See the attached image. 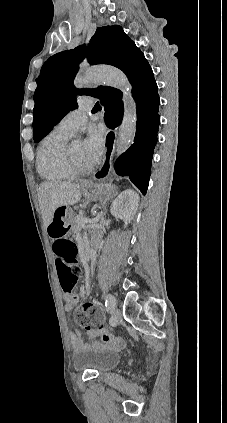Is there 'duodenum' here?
<instances>
[{"instance_id":"obj_1","label":"duodenum","mask_w":227,"mask_h":423,"mask_svg":"<svg viewBox=\"0 0 227 423\" xmlns=\"http://www.w3.org/2000/svg\"><path fill=\"white\" fill-rule=\"evenodd\" d=\"M96 252H97V246L94 245L87 251V253H85V256L92 257L96 254Z\"/></svg>"}]
</instances>
